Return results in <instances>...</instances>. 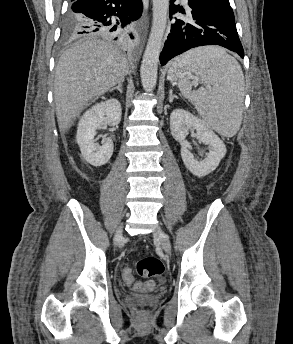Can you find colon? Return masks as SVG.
I'll list each match as a JSON object with an SVG mask.
<instances>
[{"label":"colon","instance_id":"colon-1","mask_svg":"<svg viewBox=\"0 0 293 344\" xmlns=\"http://www.w3.org/2000/svg\"><path fill=\"white\" fill-rule=\"evenodd\" d=\"M136 270L138 275L143 278H155L163 275L165 266L161 259L151 256L141 259L136 265ZM122 276L125 281L133 282V274L130 268H124ZM152 286L153 283L149 282L145 285L144 289H150Z\"/></svg>","mask_w":293,"mask_h":344}]
</instances>
